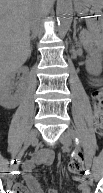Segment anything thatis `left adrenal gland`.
<instances>
[{
    "mask_svg": "<svg viewBox=\"0 0 103 193\" xmlns=\"http://www.w3.org/2000/svg\"><path fill=\"white\" fill-rule=\"evenodd\" d=\"M74 35H75V39H76V26H74ZM76 43H78L77 39H76Z\"/></svg>",
    "mask_w": 103,
    "mask_h": 193,
    "instance_id": "1",
    "label": "left adrenal gland"
}]
</instances>
